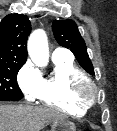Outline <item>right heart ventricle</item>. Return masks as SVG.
Segmentation results:
<instances>
[{"instance_id":"right-heart-ventricle-1","label":"right heart ventricle","mask_w":117,"mask_h":131,"mask_svg":"<svg viewBox=\"0 0 117 131\" xmlns=\"http://www.w3.org/2000/svg\"><path fill=\"white\" fill-rule=\"evenodd\" d=\"M85 77L72 58L53 59L52 72L42 77L37 99L44 105L73 116L87 114L92 103L79 97L75 85Z\"/></svg>"}]
</instances>
